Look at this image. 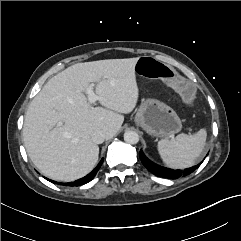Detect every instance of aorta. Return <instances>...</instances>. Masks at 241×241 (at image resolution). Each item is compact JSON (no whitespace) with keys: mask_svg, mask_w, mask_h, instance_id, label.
I'll return each instance as SVG.
<instances>
[{"mask_svg":"<svg viewBox=\"0 0 241 241\" xmlns=\"http://www.w3.org/2000/svg\"><path fill=\"white\" fill-rule=\"evenodd\" d=\"M124 140L128 144H137L139 142V135L135 131H126L124 133Z\"/></svg>","mask_w":241,"mask_h":241,"instance_id":"aorta-1","label":"aorta"}]
</instances>
